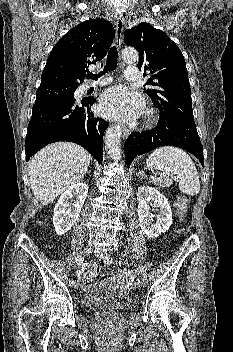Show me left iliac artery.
<instances>
[{
	"label": "left iliac artery",
	"mask_w": 233,
	"mask_h": 352,
	"mask_svg": "<svg viewBox=\"0 0 233 352\" xmlns=\"http://www.w3.org/2000/svg\"><path fill=\"white\" fill-rule=\"evenodd\" d=\"M104 261L107 264H112L114 262V259L110 255L106 254V256H104ZM140 272L142 276L146 277V270L142 265L140 266Z\"/></svg>",
	"instance_id": "obj_1"
}]
</instances>
